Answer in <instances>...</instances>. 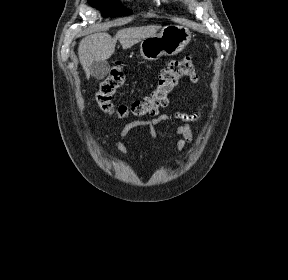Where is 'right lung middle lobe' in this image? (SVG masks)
I'll return each instance as SVG.
<instances>
[{"instance_id":"obj_1","label":"right lung middle lobe","mask_w":288,"mask_h":280,"mask_svg":"<svg viewBox=\"0 0 288 280\" xmlns=\"http://www.w3.org/2000/svg\"><path fill=\"white\" fill-rule=\"evenodd\" d=\"M88 2L95 8H101L103 17H120L132 13V10L123 7L116 0H88Z\"/></svg>"}]
</instances>
